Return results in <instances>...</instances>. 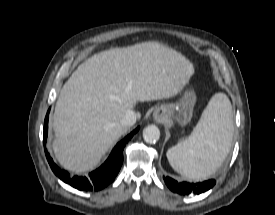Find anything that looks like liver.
<instances>
[{
	"label": "liver",
	"mask_w": 275,
	"mask_h": 215,
	"mask_svg": "<svg viewBox=\"0 0 275 215\" xmlns=\"http://www.w3.org/2000/svg\"><path fill=\"white\" fill-rule=\"evenodd\" d=\"M193 74L188 59L155 41L88 58L64 84L56 103L52 148L59 164L74 173L95 167L127 132L120 121L128 110L138 101L178 95Z\"/></svg>",
	"instance_id": "obj_1"
}]
</instances>
